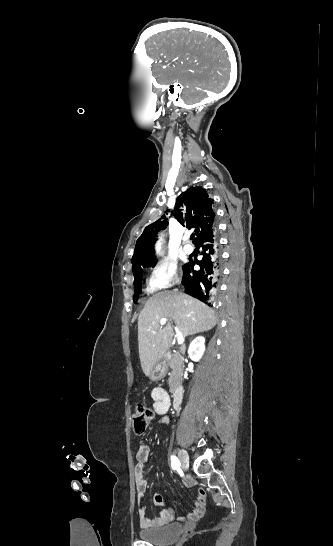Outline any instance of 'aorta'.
Instances as JSON below:
<instances>
[{
  "mask_svg": "<svg viewBox=\"0 0 333 546\" xmlns=\"http://www.w3.org/2000/svg\"><path fill=\"white\" fill-rule=\"evenodd\" d=\"M156 249H157V252L160 253V241L157 243V248Z\"/></svg>",
  "mask_w": 333,
  "mask_h": 546,
  "instance_id": "obj_1",
  "label": "aorta"
}]
</instances>
